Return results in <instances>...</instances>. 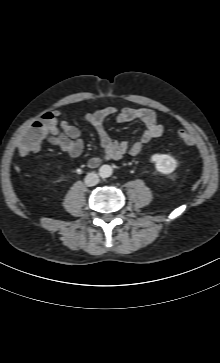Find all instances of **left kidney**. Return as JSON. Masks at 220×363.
I'll return each mask as SVG.
<instances>
[{
	"mask_svg": "<svg viewBox=\"0 0 220 363\" xmlns=\"http://www.w3.org/2000/svg\"><path fill=\"white\" fill-rule=\"evenodd\" d=\"M151 161L155 164L157 171L163 174H169L176 168V161L166 154H154Z\"/></svg>",
	"mask_w": 220,
	"mask_h": 363,
	"instance_id": "1",
	"label": "left kidney"
}]
</instances>
